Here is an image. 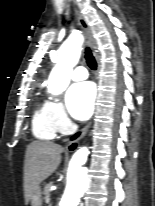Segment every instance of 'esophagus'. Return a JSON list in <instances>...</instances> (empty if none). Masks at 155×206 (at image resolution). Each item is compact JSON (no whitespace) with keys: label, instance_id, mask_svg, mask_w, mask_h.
Returning <instances> with one entry per match:
<instances>
[{"label":"esophagus","instance_id":"esophagus-1","mask_svg":"<svg viewBox=\"0 0 155 206\" xmlns=\"http://www.w3.org/2000/svg\"><path fill=\"white\" fill-rule=\"evenodd\" d=\"M75 15L77 17L78 23L80 25V27L82 28V30L84 31L85 35H86V39L89 43V45L91 46L92 50L95 51L96 45H95V40L92 36L91 30L88 26L87 21L85 20V18L83 17V15L75 8ZM98 67H100L99 63H98ZM91 124H89L82 132L81 136H84L88 129L90 128ZM77 147V143L74 142H69L68 143V148L69 150H74Z\"/></svg>","mask_w":155,"mask_h":206}]
</instances>
